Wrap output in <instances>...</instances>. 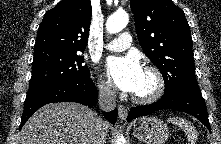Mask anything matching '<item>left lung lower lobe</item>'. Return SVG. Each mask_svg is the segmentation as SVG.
<instances>
[{"label": "left lung lower lobe", "mask_w": 221, "mask_h": 144, "mask_svg": "<svg viewBox=\"0 0 221 144\" xmlns=\"http://www.w3.org/2000/svg\"><path fill=\"white\" fill-rule=\"evenodd\" d=\"M163 109H174L191 114L211 131L205 101L202 95L188 91L167 93L155 103L134 107L129 112L127 121L129 122L137 117L146 116Z\"/></svg>", "instance_id": "1"}]
</instances>
